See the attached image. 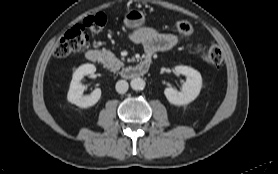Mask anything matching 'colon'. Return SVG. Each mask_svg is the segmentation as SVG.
Wrapping results in <instances>:
<instances>
[{"mask_svg":"<svg viewBox=\"0 0 278 174\" xmlns=\"http://www.w3.org/2000/svg\"><path fill=\"white\" fill-rule=\"evenodd\" d=\"M106 24V17L102 13L90 15L81 23L70 28L58 41L54 54L62 59L73 53L81 51L88 43L86 31L97 32ZM178 33L190 40L193 34V27L187 21H180L176 25ZM192 49L203 59L205 63L211 66H219L223 61V53L219 46L212 44L207 48L191 44Z\"/></svg>","mask_w":278,"mask_h":174,"instance_id":"1","label":"colon"}]
</instances>
